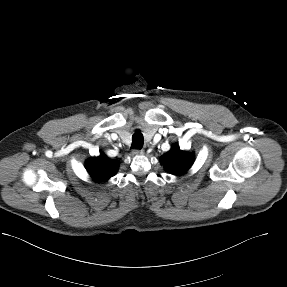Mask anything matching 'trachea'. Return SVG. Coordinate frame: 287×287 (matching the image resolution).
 <instances>
[{"instance_id": "trachea-1", "label": "trachea", "mask_w": 287, "mask_h": 287, "mask_svg": "<svg viewBox=\"0 0 287 287\" xmlns=\"http://www.w3.org/2000/svg\"><path fill=\"white\" fill-rule=\"evenodd\" d=\"M143 143V135L139 130H137L132 136V148L141 149L143 147Z\"/></svg>"}]
</instances>
